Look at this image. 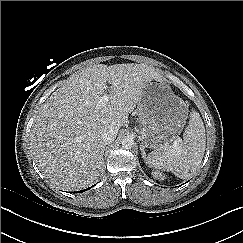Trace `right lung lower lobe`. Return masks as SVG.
Wrapping results in <instances>:
<instances>
[{"label": "right lung lower lobe", "instance_id": "1", "mask_svg": "<svg viewBox=\"0 0 243 243\" xmlns=\"http://www.w3.org/2000/svg\"><path fill=\"white\" fill-rule=\"evenodd\" d=\"M91 187H89L88 189H90ZM88 189H85V190H81V191H78V193L80 192H84V191H86V190H88Z\"/></svg>", "mask_w": 243, "mask_h": 243}]
</instances>
